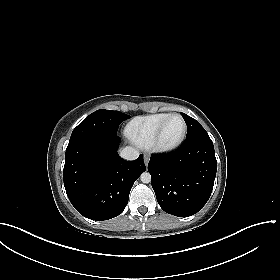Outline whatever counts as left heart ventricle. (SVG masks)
Instances as JSON below:
<instances>
[{
  "mask_svg": "<svg viewBox=\"0 0 280 280\" xmlns=\"http://www.w3.org/2000/svg\"><path fill=\"white\" fill-rule=\"evenodd\" d=\"M183 131V122L178 117H173L167 123L163 136L162 142L163 143H171L179 138Z\"/></svg>",
  "mask_w": 280,
  "mask_h": 280,
  "instance_id": "1",
  "label": "left heart ventricle"
}]
</instances>
